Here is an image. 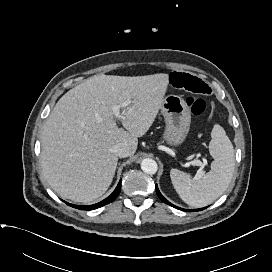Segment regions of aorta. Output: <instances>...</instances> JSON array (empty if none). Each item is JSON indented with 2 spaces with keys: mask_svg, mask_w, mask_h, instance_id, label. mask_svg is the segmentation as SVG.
<instances>
[{
  "mask_svg": "<svg viewBox=\"0 0 272 272\" xmlns=\"http://www.w3.org/2000/svg\"><path fill=\"white\" fill-rule=\"evenodd\" d=\"M141 169L147 174H155L158 170V165L155 160L145 158L141 162Z\"/></svg>",
  "mask_w": 272,
  "mask_h": 272,
  "instance_id": "obj_1",
  "label": "aorta"
}]
</instances>
